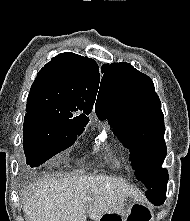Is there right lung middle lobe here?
<instances>
[{
  "mask_svg": "<svg viewBox=\"0 0 190 221\" xmlns=\"http://www.w3.org/2000/svg\"><path fill=\"white\" fill-rule=\"evenodd\" d=\"M88 121V118H73L60 114L26 113L23 147L27 165L38 167L72 146Z\"/></svg>",
  "mask_w": 190,
  "mask_h": 221,
  "instance_id": "obj_1",
  "label": "right lung middle lobe"
}]
</instances>
